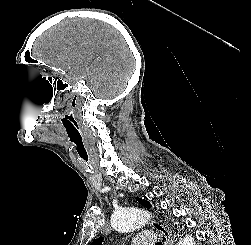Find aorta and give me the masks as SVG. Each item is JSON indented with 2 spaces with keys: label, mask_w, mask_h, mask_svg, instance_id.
I'll return each instance as SVG.
<instances>
[{
  "label": "aorta",
  "mask_w": 251,
  "mask_h": 245,
  "mask_svg": "<svg viewBox=\"0 0 251 245\" xmlns=\"http://www.w3.org/2000/svg\"><path fill=\"white\" fill-rule=\"evenodd\" d=\"M147 212L137 207L122 208L114 212L111 225L118 232H131L142 227L146 222ZM176 245H195L194 238L186 235Z\"/></svg>",
  "instance_id": "obj_1"
}]
</instances>
